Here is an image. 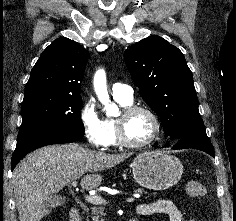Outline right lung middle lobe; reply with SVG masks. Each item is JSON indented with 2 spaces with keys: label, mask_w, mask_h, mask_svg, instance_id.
Listing matches in <instances>:
<instances>
[{
  "label": "right lung middle lobe",
  "mask_w": 236,
  "mask_h": 221,
  "mask_svg": "<svg viewBox=\"0 0 236 221\" xmlns=\"http://www.w3.org/2000/svg\"><path fill=\"white\" fill-rule=\"evenodd\" d=\"M80 95L34 92L24 95L20 132L35 127H54L83 133Z\"/></svg>",
  "instance_id": "1"
}]
</instances>
